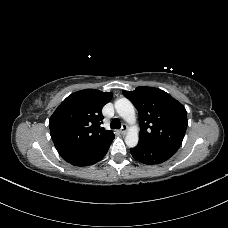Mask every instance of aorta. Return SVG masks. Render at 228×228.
Listing matches in <instances>:
<instances>
[{"label": "aorta", "instance_id": "aorta-1", "mask_svg": "<svg viewBox=\"0 0 228 228\" xmlns=\"http://www.w3.org/2000/svg\"><path fill=\"white\" fill-rule=\"evenodd\" d=\"M117 113L131 125L125 137V143L128 147H135L138 144V127L136 123V114L133 104L127 98H120L115 102Z\"/></svg>", "mask_w": 228, "mask_h": 228}]
</instances>
